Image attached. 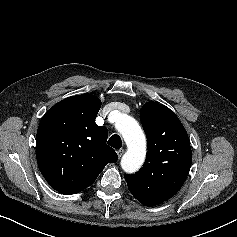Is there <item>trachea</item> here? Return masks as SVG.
<instances>
[{"label":"trachea","instance_id":"1","mask_svg":"<svg viewBox=\"0 0 237 237\" xmlns=\"http://www.w3.org/2000/svg\"><path fill=\"white\" fill-rule=\"evenodd\" d=\"M108 145L115 149H119L122 147L121 137L117 134L112 135L108 140Z\"/></svg>","mask_w":237,"mask_h":237}]
</instances>
